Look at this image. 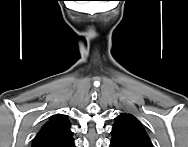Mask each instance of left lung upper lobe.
<instances>
[{
    "label": "left lung upper lobe",
    "mask_w": 188,
    "mask_h": 147,
    "mask_svg": "<svg viewBox=\"0 0 188 147\" xmlns=\"http://www.w3.org/2000/svg\"><path fill=\"white\" fill-rule=\"evenodd\" d=\"M111 133V147H152L145 128L131 114L118 115Z\"/></svg>",
    "instance_id": "1"
}]
</instances>
